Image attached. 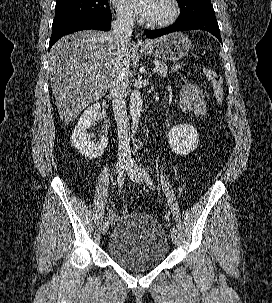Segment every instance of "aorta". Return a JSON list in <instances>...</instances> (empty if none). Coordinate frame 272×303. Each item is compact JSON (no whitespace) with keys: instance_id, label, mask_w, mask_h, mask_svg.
Wrapping results in <instances>:
<instances>
[{"instance_id":"obj_1","label":"aorta","mask_w":272,"mask_h":303,"mask_svg":"<svg viewBox=\"0 0 272 303\" xmlns=\"http://www.w3.org/2000/svg\"><path fill=\"white\" fill-rule=\"evenodd\" d=\"M130 116L134 128L138 127L142 111V97L138 89H134L130 95L129 101Z\"/></svg>"}]
</instances>
